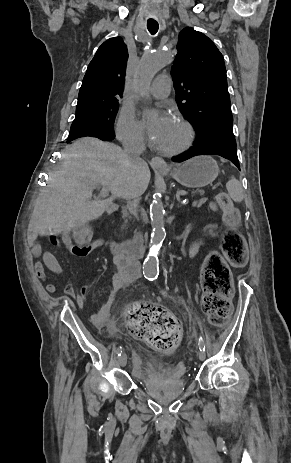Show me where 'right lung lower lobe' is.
<instances>
[{
  "instance_id": "right-lung-lower-lobe-1",
  "label": "right lung lower lobe",
  "mask_w": 291,
  "mask_h": 463,
  "mask_svg": "<svg viewBox=\"0 0 291 463\" xmlns=\"http://www.w3.org/2000/svg\"><path fill=\"white\" fill-rule=\"evenodd\" d=\"M114 137H115V136H114ZM114 137H113V136H106V137H100L99 139L104 140V141H107V140H112V139H114Z\"/></svg>"
}]
</instances>
